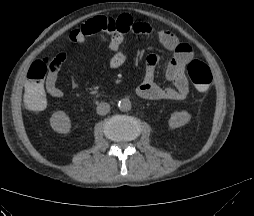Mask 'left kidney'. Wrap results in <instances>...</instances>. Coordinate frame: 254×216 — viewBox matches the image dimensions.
<instances>
[{"label":"left kidney","mask_w":254,"mask_h":216,"mask_svg":"<svg viewBox=\"0 0 254 216\" xmlns=\"http://www.w3.org/2000/svg\"><path fill=\"white\" fill-rule=\"evenodd\" d=\"M191 114L185 110L175 111L171 114L168 124L171 128H179L189 123Z\"/></svg>","instance_id":"left-kidney-1"}]
</instances>
